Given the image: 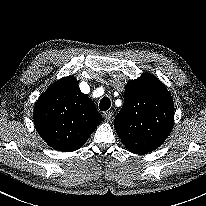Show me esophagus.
Masks as SVG:
<instances>
[{"label":"esophagus","mask_w":206,"mask_h":206,"mask_svg":"<svg viewBox=\"0 0 206 206\" xmlns=\"http://www.w3.org/2000/svg\"><path fill=\"white\" fill-rule=\"evenodd\" d=\"M112 116H113L112 111H106L103 113V117H104L105 121H107V122L111 121Z\"/></svg>","instance_id":"obj_1"}]
</instances>
